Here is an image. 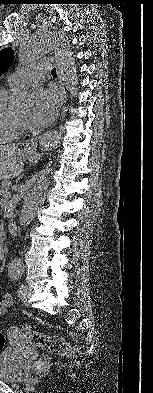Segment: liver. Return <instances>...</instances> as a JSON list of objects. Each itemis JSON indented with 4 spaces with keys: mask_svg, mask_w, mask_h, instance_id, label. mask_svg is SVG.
<instances>
[{
    "mask_svg": "<svg viewBox=\"0 0 153 393\" xmlns=\"http://www.w3.org/2000/svg\"><path fill=\"white\" fill-rule=\"evenodd\" d=\"M24 153L15 145L0 146V180L13 179L23 171Z\"/></svg>",
    "mask_w": 153,
    "mask_h": 393,
    "instance_id": "liver-1",
    "label": "liver"
}]
</instances>
